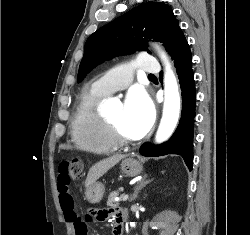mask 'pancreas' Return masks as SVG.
<instances>
[{
    "label": "pancreas",
    "instance_id": "cf45deb5",
    "mask_svg": "<svg viewBox=\"0 0 250 235\" xmlns=\"http://www.w3.org/2000/svg\"><path fill=\"white\" fill-rule=\"evenodd\" d=\"M120 190H122V189L113 191L109 194L108 200H107V206L116 207L118 205V203L115 201V197H117L119 195Z\"/></svg>",
    "mask_w": 250,
    "mask_h": 235
}]
</instances>
